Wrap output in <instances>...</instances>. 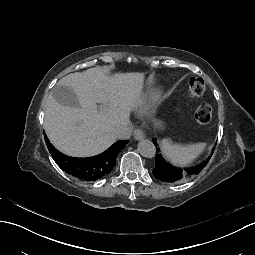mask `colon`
<instances>
[{"instance_id": "obj_1", "label": "colon", "mask_w": 255, "mask_h": 255, "mask_svg": "<svg viewBox=\"0 0 255 255\" xmlns=\"http://www.w3.org/2000/svg\"><path fill=\"white\" fill-rule=\"evenodd\" d=\"M206 90V84L203 79L193 77L189 81L188 95L191 99L201 98ZM195 120L199 124H207L212 118V107L208 103L200 104L195 110Z\"/></svg>"}]
</instances>
